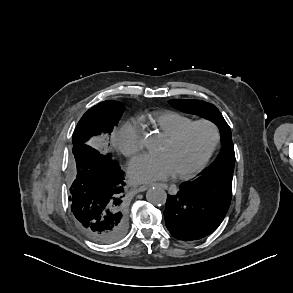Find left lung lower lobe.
Masks as SVG:
<instances>
[{
	"label": "left lung lower lobe",
	"mask_w": 293,
	"mask_h": 293,
	"mask_svg": "<svg viewBox=\"0 0 293 293\" xmlns=\"http://www.w3.org/2000/svg\"><path fill=\"white\" fill-rule=\"evenodd\" d=\"M232 198V177L199 176L183 183L176 195H168L164 218L178 240L194 241L213 231L223 221Z\"/></svg>",
	"instance_id": "left-lung-lower-lobe-1"
}]
</instances>
